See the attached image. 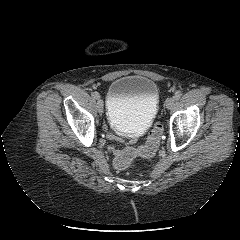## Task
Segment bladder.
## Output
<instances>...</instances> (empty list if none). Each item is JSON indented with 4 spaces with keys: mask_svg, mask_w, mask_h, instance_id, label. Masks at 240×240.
Returning <instances> with one entry per match:
<instances>
[{
    "mask_svg": "<svg viewBox=\"0 0 240 240\" xmlns=\"http://www.w3.org/2000/svg\"><path fill=\"white\" fill-rule=\"evenodd\" d=\"M159 108V89L150 78L128 75L114 80L107 93V117L110 125L123 134L145 132Z\"/></svg>",
    "mask_w": 240,
    "mask_h": 240,
    "instance_id": "obj_1",
    "label": "bladder"
}]
</instances>
